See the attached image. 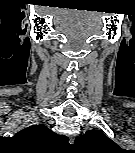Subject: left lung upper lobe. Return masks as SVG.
<instances>
[{"label": "left lung upper lobe", "mask_w": 135, "mask_h": 153, "mask_svg": "<svg viewBox=\"0 0 135 153\" xmlns=\"http://www.w3.org/2000/svg\"><path fill=\"white\" fill-rule=\"evenodd\" d=\"M75 144L90 150L91 153H115L120 147L103 132L89 130L76 139Z\"/></svg>", "instance_id": "left-lung-upper-lobe-1"}]
</instances>
